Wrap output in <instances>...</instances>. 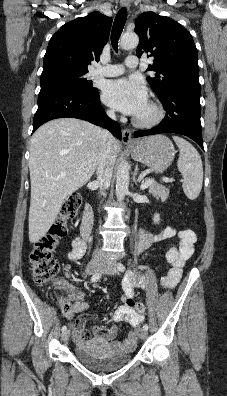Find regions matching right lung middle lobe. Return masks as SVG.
Masks as SVG:
<instances>
[{
  "instance_id": "1",
  "label": "right lung middle lobe",
  "mask_w": 227,
  "mask_h": 396,
  "mask_svg": "<svg viewBox=\"0 0 227 396\" xmlns=\"http://www.w3.org/2000/svg\"><path fill=\"white\" fill-rule=\"evenodd\" d=\"M87 72L71 68L44 70L40 78L41 90L51 87H67L86 94L95 93L97 88L92 86V81H88L84 77Z\"/></svg>"
}]
</instances>
